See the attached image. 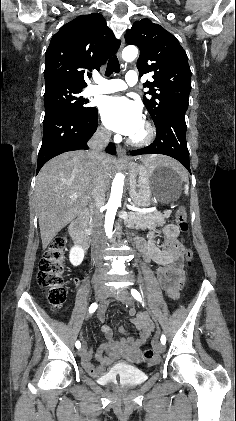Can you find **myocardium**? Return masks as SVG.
I'll use <instances>...</instances> for the list:
<instances>
[{
	"mask_svg": "<svg viewBox=\"0 0 236 421\" xmlns=\"http://www.w3.org/2000/svg\"><path fill=\"white\" fill-rule=\"evenodd\" d=\"M143 124H144L145 131L142 137L136 138V137L130 136L128 138V142L131 145L142 147V146H147L153 142L156 135L155 128L147 120H144Z\"/></svg>",
	"mask_w": 236,
	"mask_h": 421,
	"instance_id": "1",
	"label": "myocardium"
}]
</instances>
